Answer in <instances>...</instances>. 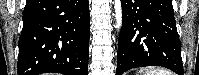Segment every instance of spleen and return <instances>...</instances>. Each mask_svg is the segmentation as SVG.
I'll return each instance as SVG.
<instances>
[{
    "mask_svg": "<svg viewBox=\"0 0 199 75\" xmlns=\"http://www.w3.org/2000/svg\"><path fill=\"white\" fill-rule=\"evenodd\" d=\"M137 75H173V73L164 68L156 69L149 67L140 69Z\"/></svg>",
    "mask_w": 199,
    "mask_h": 75,
    "instance_id": "obj_1",
    "label": "spleen"
}]
</instances>
